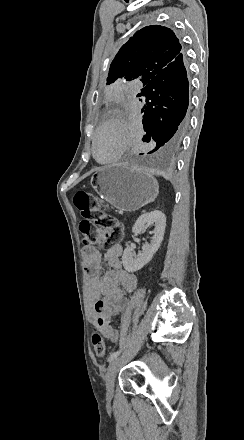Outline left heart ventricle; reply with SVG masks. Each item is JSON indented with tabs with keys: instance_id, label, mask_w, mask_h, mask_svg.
<instances>
[{
	"instance_id": "1",
	"label": "left heart ventricle",
	"mask_w": 244,
	"mask_h": 440,
	"mask_svg": "<svg viewBox=\"0 0 244 440\" xmlns=\"http://www.w3.org/2000/svg\"><path fill=\"white\" fill-rule=\"evenodd\" d=\"M114 135L110 129L99 133L96 141V154L98 159L106 160L112 155Z\"/></svg>"
}]
</instances>
